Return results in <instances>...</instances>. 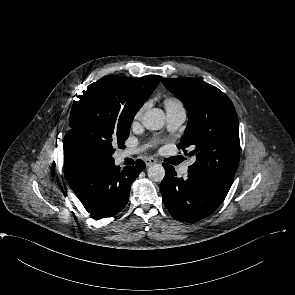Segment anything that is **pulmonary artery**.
<instances>
[{
    "label": "pulmonary artery",
    "mask_w": 295,
    "mask_h": 295,
    "mask_svg": "<svg viewBox=\"0 0 295 295\" xmlns=\"http://www.w3.org/2000/svg\"><path fill=\"white\" fill-rule=\"evenodd\" d=\"M186 119V112L184 109H176V110H170L167 111V126L168 129L171 131L177 130L185 121ZM139 152V150H131L127 151L126 154H134ZM179 173L182 176H187L188 174V166L183 165L179 169Z\"/></svg>",
    "instance_id": "e3ab8cb5"
}]
</instances>
